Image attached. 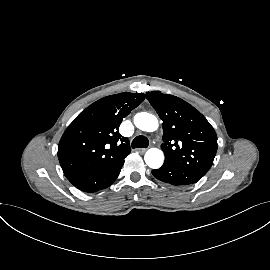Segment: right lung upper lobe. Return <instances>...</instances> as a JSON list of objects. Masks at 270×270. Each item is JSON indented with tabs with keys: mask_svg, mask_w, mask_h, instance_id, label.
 <instances>
[{
	"mask_svg": "<svg viewBox=\"0 0 270 270\" xmlns=\"http://www.w3.org/2000/svg\"><path fill=\"white\" fill-rule=\"evenodd\" d=\"M145 98L143 93L104 97L82 111L65 130L58 158L68 180L110 168L130 153L129 140L119 134L122 119Z\"/></svg>",
	"mask_w": 270,
	"mask_h": 270,
	"instance_id": "right-lung-upper-lobe-1",
	"label": "right lung upper lobe"
}]
</instances>
